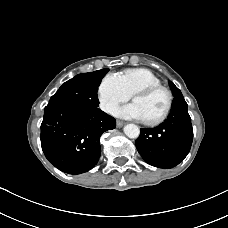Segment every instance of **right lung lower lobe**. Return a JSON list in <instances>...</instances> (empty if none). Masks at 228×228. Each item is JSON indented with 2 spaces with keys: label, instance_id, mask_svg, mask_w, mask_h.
<instances>
[{
  "label": "right lung lower lobe",
  "instance_id": "right-lung-lower-lobe-1",
  "mask_svg": "<svg viewBox=\"0 0 228 228\" xmlns=\"http://www.w3.org/2000/svg\"><path fill=\"white\" fill-rule=\"evenodd\" d=\"M116 120L98 108L75 109L52 104L44 109L41 146L59 170L80 174L92 169L101 155L100 137Z\"/></svg>",
  "mask_w": 228,
  "mask_h": 228
}]
</instances>
